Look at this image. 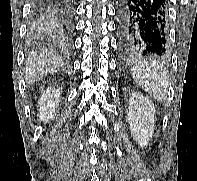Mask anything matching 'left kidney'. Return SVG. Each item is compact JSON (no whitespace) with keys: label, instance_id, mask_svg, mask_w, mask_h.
Masks as SVG:
<instances>
[{"label":"left kidney","instance_id":"left-kidney-1","mask_svg":"<svg viewBox=\"0 0 197 181\" xmlns=\"http://www.w3.org/2000/svg\"><path fill=\"white\" fill-rule=\"evenodd\" d=\"M128 122L133 138L140 146H146L153 136L155 107L150 99L134 92L129 100Z\"/></svg>","mask_w":197,"mask_h":181}]
</instances>
